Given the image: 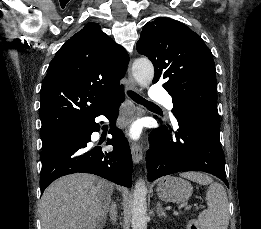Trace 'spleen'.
<instances>
[{"mask_svg": "<svg viewBox=\"0 0 261 229\" xmlns=\"http://www.w3.org/2000/svg\"><path fill=\"white\" fill-rule=\"evenodd\" d=\"M180 177L199 185H209L206 195L208 209L198 215L201 229H228L229 205L224 187L220 183H214L211 177L203 173L190 171V173H180Z\"/></svg>", "mask_w": 261, "mask_h": 229, "instance_id": "3e777b00", "label": "spleen"}]
</instances>
